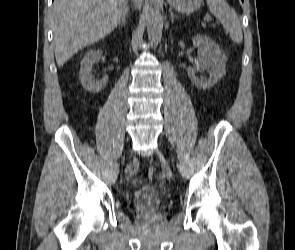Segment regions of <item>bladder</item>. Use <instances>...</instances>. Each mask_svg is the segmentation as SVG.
<instances>
[{
    "label": "bladder",
    "mask_w": 295,
    "mask_h": 250,
    "mask_svg": "<svg viewBox=\"0 0 295 250\" xmlns=\"http://www.w3.org/2000/svg\"><path fill=\"white\" fill-rule=\"evenodd\" d=\"M161 200L160 191L151 184L141 186L133 196V204L138 212H153L158 210Z\"/></svg>",
    "instance_id": "1"
}]
</instances>
